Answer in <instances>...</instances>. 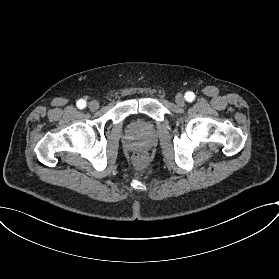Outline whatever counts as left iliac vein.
Segmentation results:
<instances>
[{
    "label": "left iliac vein",
    "instance_id": "left-iliac-vein-1",
    "mask_svg": "<svg viewBox=\"0 0 279 279\" xmlns=\"http://www.w3.org/2000/svg\"><path fill=\"white\" fill-rule=\"evenodd\" d=\"M175 102L178 106L184 107L185 106V98L182 94H177L175 97Z\"/></svg>",
    "mask_w": 279,
    "mask_h": 279
}]
</instances>
